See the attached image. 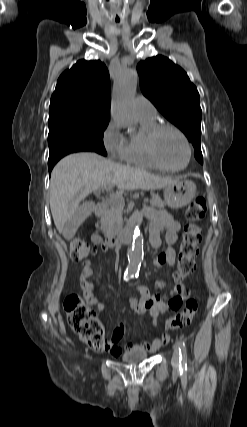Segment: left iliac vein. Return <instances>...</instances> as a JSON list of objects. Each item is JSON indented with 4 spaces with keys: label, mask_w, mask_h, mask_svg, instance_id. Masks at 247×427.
I'll list each match as a JSON object with an SVG mask.
<instances>
[{
    "label": "left iliac vein",
    "mask_w": 247,
    "mask_h": 427,
    "mask_svg": "<svg viewBox=\"0 0 247 427\" xmlns=\"http://www.w3.org/2000/svg\"><path fill=\"white\" fill-rule=\"evenodd\" d=\"M179 359H180V354H179V350H178V344H175L174 345V352H173V356H172V366L174 369L179 368Z\"/></svg>",
    "instance_id": "1"
}]
</instances>
